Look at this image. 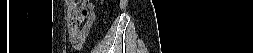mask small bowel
<instances>
[{
  "label": "small bowel",
  "instance_id": "c3829d8e",
  "mask_svg": "<svg viewBox=\"0 0 253 53\" xmlns=\"http://www.w3.org/2000/svg\"><path fill=\"white\" fill-rule=\"evenodd\" d=\"M88 7L90 8L91 13L83 27L81 28H76L72 26L67 27L69 42L76 48H79L83 45V43L85 42L86 38L90 33L92 25L95 22V14L93 12V7L91 4H88Z\"/></svg>",
  "mask_w": 253,
  "mask_h": 53
}]
</instances>
